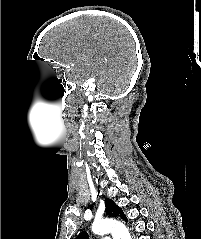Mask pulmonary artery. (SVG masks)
Returning a JSON list of instances; mask_svg holds the SVG:
<instances>
[{
	"label": "pulmonary artery",
	"instance_id": "obj_1",
	"mask_svg": "<svg viewBox=\"0 0 201 239\" xmlns=\"http://www.w3.org/2000/svg\"><path fill=\"white\" fill-rule=\"evenodd\" d=\"M98 239H111V238L108 237V236H102V237H100V238H98Z\"/></svg>",
	"mask_w": 201,
	"mask_h": 239
}]
</instances>
